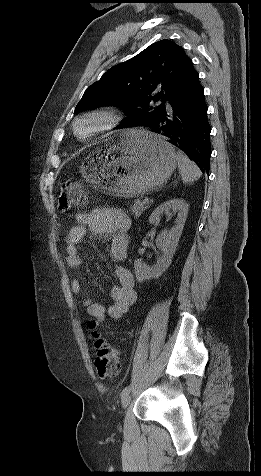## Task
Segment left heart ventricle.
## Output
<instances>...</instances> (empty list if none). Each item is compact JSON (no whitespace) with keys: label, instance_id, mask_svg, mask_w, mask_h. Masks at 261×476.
I'll use <instances>...</instances> for the list:
<instances>
[{"label":"left heart ventricle","instance_id":"1","mask_svg":"<svg viewBox=\"0 0 261 476\" xmlns=\"http://www.w3.org/2000/svg\"><path fill=\"white\" fill-rule=\"evenodd\" d=\"M87 129H88V125H84V126H82V128H81L82 131H86Z\"/></svg>","mask_w":261,"mask_h":476}]
</instances>
